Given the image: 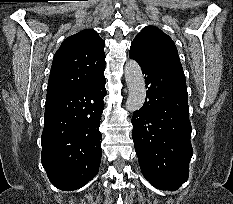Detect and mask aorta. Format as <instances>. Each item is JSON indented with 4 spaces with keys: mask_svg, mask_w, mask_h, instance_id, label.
<instances>
[{
    "mask_svg": "<svg viewBox=\"0 0 233 204\" xmlns=\"http://www.w3.org/2000/svg\"><path fill=\"white\" fill-rule=\"evenodd\" d=\"M125 80L128 88L126 109L129 111L139 110L145 101L146 88L142 70L134 60H129L125 65Z\"/></svg>",
    "mask_w": 233,
    "mask_h": 204,
    "instance_id": "obj_1",
    "label": "aorta"
}]
</instances>
